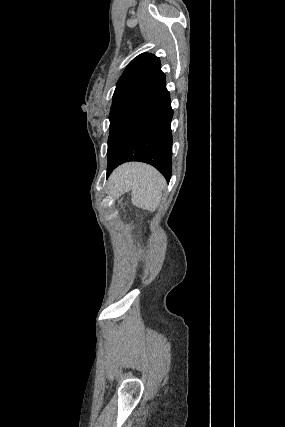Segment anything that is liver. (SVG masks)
<instances>
[{"instance_id": "liver-1", "label": "liver", "mask_w": 285, "mask_h": 427, "mask_svg": "<svg viewBox=\"0 0 285 427\" xmlns=\"http://www.w3.org/2000/svg\"><path fill=\"white\" fill-rule=\"evenodd\" d=\"M127 166H128V165H125V166L120 167V168L116 171V173H118L119 171L123 170V169H124L125 167H127ZM116 173H115V174H116ZM115 174H114V175H115Z\"/></svg>"}]
</instances>
